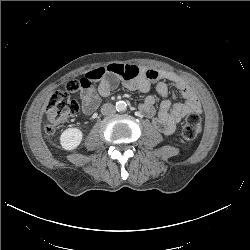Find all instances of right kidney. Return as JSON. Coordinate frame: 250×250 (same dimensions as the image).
Masks as SVG:
<instances>
[{"instance_id":"obj_1","label":"right kidney","mask_w":250,"mask_h":250,"mask_svg":"<svg viewBox=\"0 0 250 250\" xmlns=\"http://www.w3.org/2000/svg\"><path fill=\"white\" fill-rule=\"evenodd\" d=\"M83 133L78 128H68L60 136V144L65 150H73L82 141Z\"/></svg>"}]
</instances>
